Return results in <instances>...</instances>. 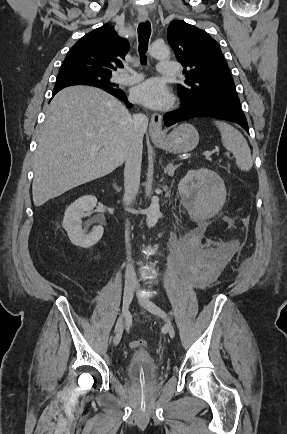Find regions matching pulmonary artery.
<instances>
[{"instance_id": "1", "label": "pulmonary artery", "mask_w": 287, "mask_h": 434, "mask_svg": "<svg viewBox=\"0 0 287 434\" xmlns=\"http://www.w3.org/2000/svg\"><path fill=\"white\" fill-rule=\"evenodd\" d=\"M157 70L158 73L161 75H169V76H174L178 74V66L175 63H170V62H160L157 65ZM142 79V75L132 71V70H127L125 71V73H122L119 77H118V82L122 83V84H132L135 82H138L139 80Z\"/></svg>"}]
</instances>
